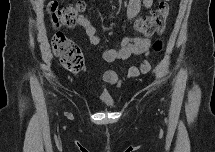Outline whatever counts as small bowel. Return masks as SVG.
I'll list each match as a JSON object with an SVG mask.
<instances>
[{
  "mask_svg": "<svg viewBox=\"0 0 215 152\" xmlns=\"http://www.w3.org/2000/svg\"><path fill=\"white\" fill-rule=\"evenodd\" d=\"M153 0H130L127 4V18L133 22L138 16L141 6L150 8ZM86 36L89 44L92 46H102V57L106 62H114L116 60H126L132 55L148 54L150 49V41L142 37L127 36L123 38L119 49H114L104 45L103 39L97 35L95 27L90 20L83 14H80L77 20ZM151 69L147 60H142L138 67L132 66L128 70L126 79L120 80L115 71L107 70L102 73L101 81L105 87L115 86L121 87L126 81L136 79L140 74H147Z\"/></svg>",
  "mask_w": 215,
  "mask_h": 152,
  "instance_id": "1",
  "label": "small bowel"
}]
</instances>
